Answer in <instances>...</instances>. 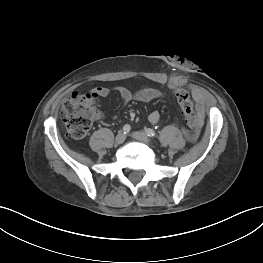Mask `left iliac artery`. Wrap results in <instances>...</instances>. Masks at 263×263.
Masks as SVG:
<instances>
[{"label": "left iliac artery", "instance_id": "obj_1", "mask_svg": "<svg viewBox=\"0 0 263 263\" xmlns=\"http://www.w3.org/2000/svg\"><path fill=\"white\" fill-rule=\"evenodd\" d=\"M145 133L149 136V137H156V132L153 129L147 128L145 129Z\"/></svg>", "mask_w": 263, "mask_h": 263}]
</instances>
